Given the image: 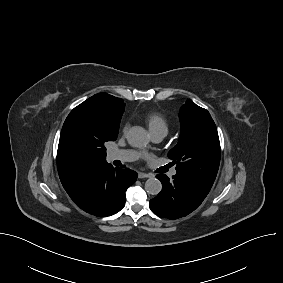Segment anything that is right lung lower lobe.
Instances as JSON below:
<instances>
[{
    "label": "right lung lower lobe",
    "instance_id": "1",
    "mask_svg": "<svg viewBox=\"0 0 283 283\" xmlns=\"http://www.w3.org/2000/svg\"><path fill=\"white\" fill-rule=\"evenodd\" d=\"M136 179L135 171L114 168L104 162L73 174L62 185L79 208L103 217L123 209L125 191Z\"/></svg>",
    "mask_w": 283,
    "mask_h": 283
}]
</instances>
